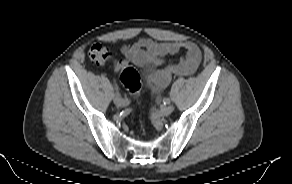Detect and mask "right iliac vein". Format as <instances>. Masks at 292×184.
Segmentation results:
<instances>
[{
    "instance_id": "63e3f726",
    "label": "right iliac vein",
    "mask_w": 292,
    "mask_h": 184,
    "mask_svg": "<svg viewBox=\"0 0 292 184\" xmlns=\"http://www.w3.org/2000/svg\"><path fill=\"white\" fill-rule=\"evenodd\" d=\"M117 97H118L117 95H115V97H114V104H115L117 107H124V106L127 105L126 101H124V100H120V98L117 99Z\"/></svg>"
}]
</instances>
